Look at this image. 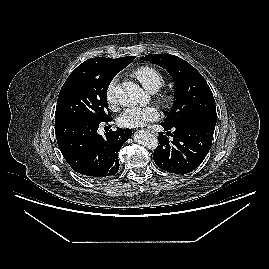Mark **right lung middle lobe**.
I'll list each match as a JSON object with an SVG mask.
<instances>
[{
	"instance_id": "dd1d6c3e",
	"label": "right lung middle lobe",
	"mask_w": 269,
	"mask_h": 269,
	"mask_svg": "<svg viewBox=\"0 0 269 269\" xmlns=\"http://www.w3.org/2000/svg\"><path fill=\"white\" fill-rule=\"evenodd\" d=\"M115 75L76 68L59 93L55 121L83 118L101 123L110 120L106 93Z\"/></svg>"
}]
</instances>
